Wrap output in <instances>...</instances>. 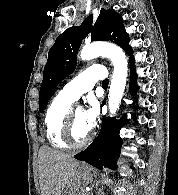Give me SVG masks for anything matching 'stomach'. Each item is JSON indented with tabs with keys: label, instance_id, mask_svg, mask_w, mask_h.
Here are the masks:
<instances>
[{
	"label": "stomach",
	"instance_id": "1",
	"mask_svg": "<svg viewBox=\"0 0 178 195\" xmlns=\"http://www.w3.org/2000/svg\"><path fill=\"white\" fill-rule=\"evenodd\" d=\"M94 172L92 169L80 166L74 178L66 186L62 195H82L85 191V186L92 181Z\"/></svg>",
	"mask_w": 178,
	"mask_h": 195
}]
</instances>
